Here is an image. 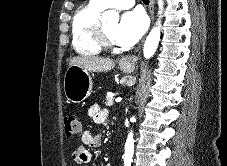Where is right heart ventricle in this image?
Here are the masks:
<instances>
[{"mask_svg":"<svg viewBox=\"0 0 227 166\" xmlns=\"http://www.w3.org/2000/svg\"><path fill=\"white\" fill-rule=\"evenodd\" d=\"M104 10L99 3L89 0L75 12L71 23L72 46L81 55H98L102 47L94 37V29Z\"/></svg>","mask_w":227,"mask_h":166,"instance_id":"right-heart-ventricle-1","label":"right heart ventricle"}]
</instances>
